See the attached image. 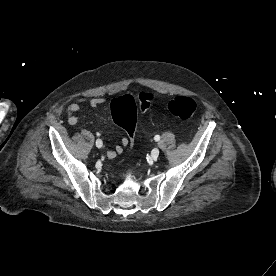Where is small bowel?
<instances>
[{
	"mask_svg": "<svg viewBox=\"0 0 276 276\" xmlns=\"http://www.w3.org/2000/svg\"><path fill=\"white\" fill-rule=\"evenodd\" d=\"M106 100L102 97H94L91 99L80 98L73 103H71L67 109L69 117L68 123L70 125H76L79 123L84 116L79 115L78 112L81 109V105L84 103H88L92 108H97L103 104H105ZM129 141L126 138L121 139V141L112 149L107 151L108 158H115L123 152V149L128 145Z\"/></svg>",
	"mask_w": 276,
	"mask_h": 276,
	"instance_id": "1",
	"label": "small bowel"
}]
</instances>
